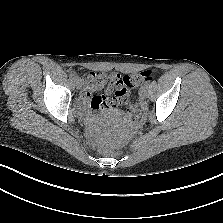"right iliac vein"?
I'll return each mask as SVG.
<instances>
[{"instance_id": "1", "label": "right iliac vein", "mask_w": 223, "mask_h": 223, "mask_svg": "<svg viewBox=\"0 0 223 223\" xmlns=\"http://www.w3.org/2000/svg\"><path fill=\"white\" fill-rule=\"evenodd\" d=\"M75 84L77 89H80L82 87V81L78 77L75 79Z\"/></svg>"}]
</instances>
